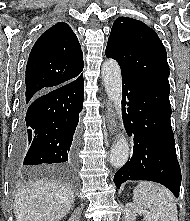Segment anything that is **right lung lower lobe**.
<instances>
[{
    "label": "right lung lower lobe",
    "mask_w": 190,
    "mask_h": 221,
    "mask_svg": "<svg viewBox=\"0 0 190 221\" xmlns=\"http://www.w3.org/2000/svg\"><path fill=\"white\" fill-rule=\"evenodd\" d=\"M83 94L80 75L69 83L22 100L15 141L16 170L75 162Z\"/></svg>",
    "instance_id": "right-lung-lower-lobe-1"
}]
</instances>
